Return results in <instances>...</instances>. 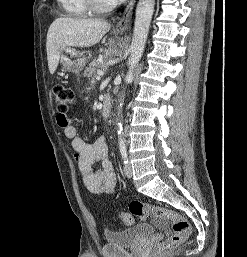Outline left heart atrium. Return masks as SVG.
Wrapping results in <instances>:
<instances>
[{"label":"left heart atrium","instance_id":"left-heart-atrium-1","mask_svg":"<svg viewBox=\"0 0 247 257\" xmlns=\"http://www.w3.org/2000/svg\"><path fill=\"white\" fill-rule=\"evenodd\" d=\"M112 1H115V2H117V1H120V0H112Z\"/></svg>","mask_w":247,"mask_h":257}]
</instances>
